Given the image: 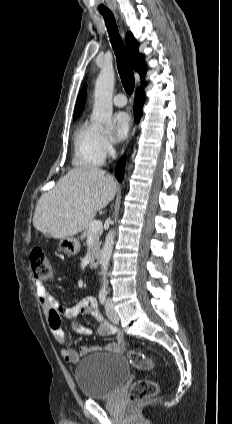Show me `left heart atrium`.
Wrapping results in <instances>:
<instances>
[{
	"instance_id": "1",
	"label": "left heart atrium",
	"mask_w": 232,
	"mask_h": 424,
	"mask_svg": "<svg viewBox=\"0 0 232 424\" xmlns=\"http://www.w3.org/2000/svg\"><path fill=\"white\" fill-rule=\"evenodd\" d=\"M116 132L119 139L128 136L131 130V119L126 112H119L115 116Z\"/></svg>"
}]
</instances>
